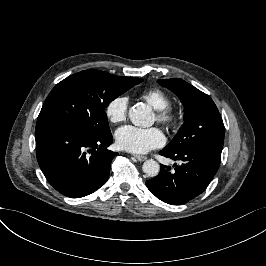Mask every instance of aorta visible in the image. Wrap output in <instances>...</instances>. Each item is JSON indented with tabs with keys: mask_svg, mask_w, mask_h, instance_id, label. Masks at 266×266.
I'll return each mask as SVG.
<instances>
[{
	"mask_svg": "<svg viewBox=\"0 0 266 266\" xmlns=\"http://www.w3.org/2000/svg\"><path fill=\"white\" fill-rule=\"evenodd\" d=\"M129 118L135 126L140 127H149L154 122L151 109L145 104L132 106L129 109ZM142 170L148 177H155L159 174L160 165L157 161L149 159L143 163Z\"/></svg>",
	"mask_w": 266,
	"mask_h": 266,
	"instance_id": "aorta-1",
	"label": "aorta"
}]
</instances>
